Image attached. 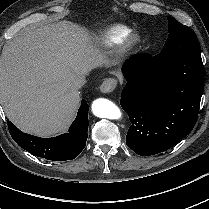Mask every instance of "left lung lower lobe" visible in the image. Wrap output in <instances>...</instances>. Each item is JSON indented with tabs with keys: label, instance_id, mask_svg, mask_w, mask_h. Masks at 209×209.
Segmentation results:
<instances>
[{
	"label": "left lung lower lobe",
	"instance_id": "1",
	"mask_svg": "<svg viewBox=\"0 0 209 209\" xmlns=\"http://www.w3.org/2000/svg\"><path fill=\"white\" fill-rule=\"evenodd\" d=\"M120 104L131 121L126 144L138 155L168 150L193 129L203 94L200 48L169 58L137 54L122 67Z\"/></svg>",
	"mask_w": 209,
	"mask_h": 209
}]
</instances>
